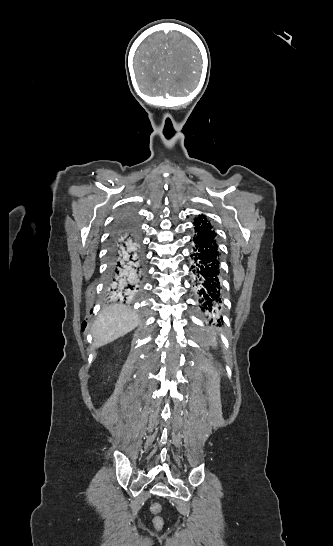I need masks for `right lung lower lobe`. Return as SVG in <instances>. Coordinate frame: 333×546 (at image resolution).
Listing matches in <instances>:
<instances>
[{"label":"right lung lower lobe","mask_w":333,"mask_h":546,"mask_svg":"<svg viewBox=\"0 0 333 546\" xmlns=\"http://www.w3.org/2000/svg\"><path fill=\"white\" fill-rule=\"evenodd\" d=\"M107 272L108 290L130 298L139 290L143 270V252L135 228L120 226L110 237Z\"/></svg>","instance_id":"1"}]
</instances>
